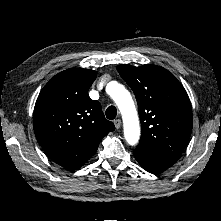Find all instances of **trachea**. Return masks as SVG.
<instances>
[{
  "mask_svg": "<svg viewBox=\"0 0 221 221\" xmlns=\"http://www.w3.org/2000/svg\"><path fill=\"white\" fill-rule=\"evenodd\" d=\"M117 115V109L115 106H109L107 109H106V117L110 120H113L115 119Z\"/></svg>",
  "mask_w": 221,
  "mask_h": 221,
  "instance_id": "1",
  "label": "trachea"
}]
</instances>
